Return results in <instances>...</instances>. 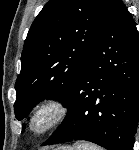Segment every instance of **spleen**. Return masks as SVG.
Returning <instances> with one entry per match:
<instances>
[{"label": "spleen", "mask_w": 139, "mask_h": 150, "mask_svg": "<svg viewBox=\"0 0 139 150\" xmlns=\"http://www.w3.org/2000/svg\"><path fill=\"white\" fill-rule=\"evenodd\" d=\"M75 150H103L101 147L87 142L77 143L74 146Z\"/></svg>", "instance_id": "3e777b00"}]
</instances>
